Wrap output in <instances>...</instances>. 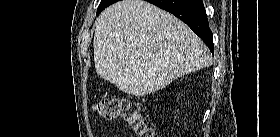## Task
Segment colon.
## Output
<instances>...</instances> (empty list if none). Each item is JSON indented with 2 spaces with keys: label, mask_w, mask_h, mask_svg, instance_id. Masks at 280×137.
Instances as JSON below:
<instances>
[{
  "label": "colon",
  "mask_w": 280,
  "mask_h": 137,
  "mask_svg": "<svg viewBox=\"0 0 280 137\" xmlns=\"http://www.w3.org/2000/svg\"><path fill=\"white\" fill-rule=\"evenodd\" d=\"M93 109L104 119H122L138 137H157L155 129L146 124L135 102L114 97L103 98L93 105Z\"/></svg>",
  "instance_id": "1"
}]
</instances>
